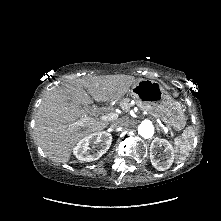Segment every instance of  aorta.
Wrapping results in <instances>:
<instances>
[{
    "label": "aorta",
    "instance_id": "762f6f07",
    "mask_svg": "<svg viewBox=\"0 0 221 221\" xmlns=\"http://www.w3.org/2000/svg\"><path fill=\"white\" fill-rule=\"evenodd\" d=\"M138 134L145 139L151 138L154 135V126L151 121L144 120L138 126Z\"/></svg>",
    "mask_w": 221,
    "mask_h": 221
}]
</instances>
